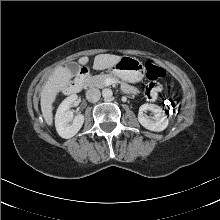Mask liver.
<instances>
[{"label": "liver", "instance_id": "6515ba94", "mask_svg": "<svg viewBox=\"0 0 220 220\" xmlns=\"http://www.w3.org/2000/svg\"><path fill=\"white\" fill-rule=\"evenodd\" d=\"M122 57L112 54H99L94 58L93 69L104 70L111 68ZM89 61L88 57H82L78 60L81 65H86ZM74 74L68 67L58 66L48 78L41 91V111L47 125L53 123V102L59 92L66 89L73 78Z\"/></svg>", "mask_w": 220, "mask_h": 220}]
</instances>
